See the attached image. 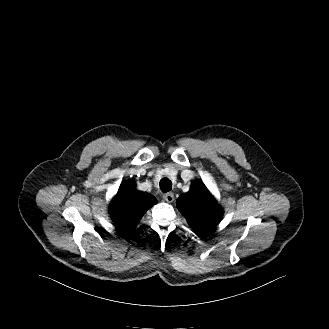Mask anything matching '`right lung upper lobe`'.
Segmentation results:
<instances>
[{"mask_svg": "<svg viewBox=\"0 0 329 329\" xmlns=\"http://www.w3.org/2000/svg\"><path fill=\"white\" fill-rule=\"evenodd\" d=\"M156 199L135 189L134 182L123 183L110 203L109 213L119 233L132 232Z\"/></svg>", "mask_w": 329, "mask_h": 329, "instance_id": "obj_1", "label": "right lung upper lobe"}]
</instances>
